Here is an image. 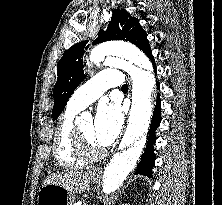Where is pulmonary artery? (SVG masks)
<instances>
[{
    "instance_id": "1",
    "label": "pulmonary artery",
    "mask_w": 222,
    "mask_h": 205,
    "mask_svg": "<svg viewBox=\"0 0 222 205\" xmlns=\"http://www.w3.org/2000/svg\"><path fill=\"white\" fill-rule=\"evenodd\" d=\"M123 77L117 69H103L80 86L68 101V108L80 111L99 98L108 88L122 87Z\"/></svg>"
}]
</instances>
